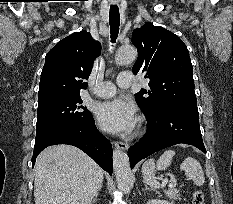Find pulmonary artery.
<instances>
[{
	"label": "pulmonary artery",
	"mask_w": 233,
	"mask_h": 204,
	"mask_svg": "<svg viewBox=\"0 0 233 204\" xmlns=\"http://www.w3.org/2000/svg\"><path fill=\"white\" fill-rule=\"evenodd\" d=\"M117 85L120 88H129L132 85V76L122 73L117 78ZM94 95L101 98L112 97L116 93V86L110 82H102L94 89Z\"/></svg>",
	"instance_id": "e3ab8cb5"
}]
</instances>
